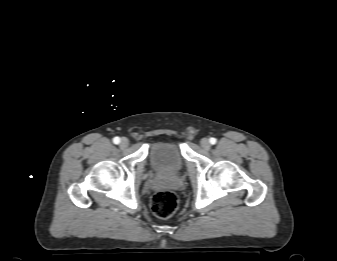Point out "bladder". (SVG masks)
Returning a JSON list of instances; mask_svg holds the SVG:
<instances>
[{
	"label": "bladder",
	"mask_w": 337,
	"mask_h": 261,
	"mask_svg": "<svg viewBox=\"0 0 337 261\" xmlns=\"http://www.w3.org/2000/svg\"><path fill=\"white\" fill-rule=\"evenodd\" d=\"M149 162L161 174L175 175L185 164L181 148L173 141H157L149 148Z\"/></svg>",
	"instance_id": "31cf9c89"
}]
</instances>
